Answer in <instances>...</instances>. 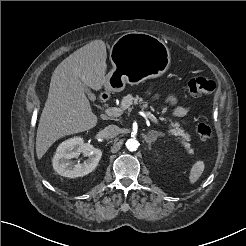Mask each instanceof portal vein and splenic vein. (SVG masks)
<instances>
[{
  "label": "portal vein and splenic vein",
  "mask_w": 246,
  "mask_h": 246,
  "mask_svg": "<svg viewBox=\"0 0 246 246\" xmlns=\"http://www.w3.org/2000/svg\"><path fill=\"white\" fill-rule=\"evenodd\" d=\"M106 114L109 117H119L123 114V111L121 108H117V107H109L106 109ZM145 117H148L151 121H153L154 123H158L157 118L151 114L150 112L144 114Z\"/></svg>",
  "instance_id": "1"
}]
</instances>
